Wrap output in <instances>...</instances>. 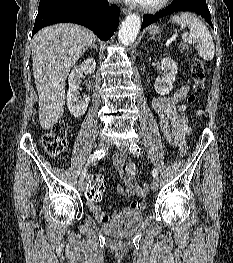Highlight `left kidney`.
I'll return each mask as SVG.
<instances>
[{"label": "left kidney", "mask_w": 233, "mask_h": 263, "mask_svg": "<svg viewBox=\"0 0 233 263\" xmlns=\"http://www.w3.org/2000/svg\"><path fill=\"white\" fill-rule=\"evenodd\" d=\"M161 70L164 76L156 80L154 88L157 94L167 95L173 89V82L175 81L177 73V64L169 57L163 58L161 60Z\"/></svg>", "instance_id": "left-kidney-1"}]
</instances>
